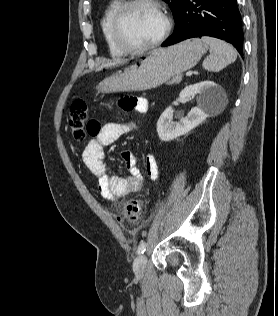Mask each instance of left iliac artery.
Listing matches in <instances>:
<instances>
[{
	"mask_svg": "<svg viewBox=\"0 0 278 316\" xmlns=\"http://www.w3.org/2000/svg\"><path fill=\"white\" fill-rule=\"evenodd\" d=\"M146 250V242L145 241H142L139 246H138V249H137V253L140 255V254H143Z\"/></svg>",
	"mask_w": 278,
	"mask_h": 316,
	"instance_id": "1",
	"label": "left iliac artery"
}]
</instances>
